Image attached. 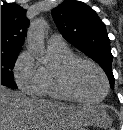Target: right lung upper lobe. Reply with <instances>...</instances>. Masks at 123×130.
I'll list each match as a JSON object with an SVG mask.
<instances>
[{
	"label": "right lung upper lobe",
	"mask_w": 123,
	"mask_h": 130,
	"mask_svg": "<svg viewBox=\"0 0 123 130\" xmlns=\"http://www.w3.org/2000/svg\"><path fill=\"white\" fill-rule=\"evenodd\" d=\"M26 10L15 3L1 6V52H19L24 42L29 20Z\"/></svg>",
	"instance_id": "cb5924a9"
}]
</instances>
